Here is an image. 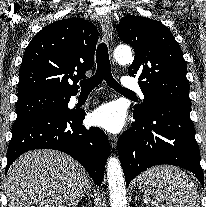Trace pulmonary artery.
I'll return each mask as SVG.
<instances>
[{"label":"pulmonary artery","instance_id":"e3ab8cb5","mask_svg":"<svg viewBox=\"0 0 206 207\" xmlns=\"http://www.w3.org/2000/svg\"><path fill=\"white\" fill-rule=\"evenodd\" d=\"M122 82L127 88H129L130 90L135 91L137 94H139L141 97H143V93H142L139 85L134 83L129 77L124 76L122 78Z\"/></svg>","mask_w":206,"mask_h":207}]
</instances>
